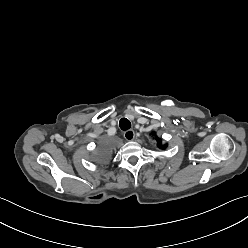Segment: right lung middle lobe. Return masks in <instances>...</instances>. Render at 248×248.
<instances>
[{
    "instance_id": "right-lung-middle-lobe-1",
    "label": "right lung middle lobe",
    "mask_w": 248,
    "mask_h": 248,
    "mask_svg": "<svg viewBox=\"0 0 248 248\" xmlns=\"http://www.w3.org/2000/svg\"><path fill=\"white\" fill-rule=\"evenodd\" d=\"M109 157L110 153L105 145H101L93 154H91V160L95 163L106 162Z\"/></svg>"
}]
</instances>
